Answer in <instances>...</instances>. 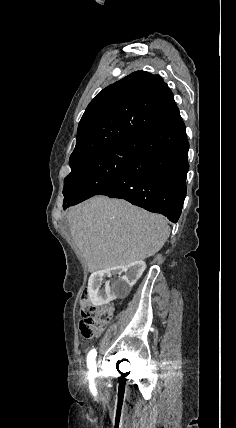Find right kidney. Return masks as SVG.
Returning a JSON list of instances; mask_svg holds the SVG:
<instances>
[{
    "instance_id": "ca27d5eb",
    "label": "right kidney",
    "mask_w": 236,
    "mask_h": 428,
    "mask_svg": "<svg viewBox=\"0 0 236 428\" xmlns=\"http://www.w3.org/2000/svg\"><path fill=\"white\" fill-rule=\"evenodd\" d=\"M144 270L146 264L143 260L118 266L117 269H95L88 284L92 304L109 306L110 301L130 300V288L141 278ZM111 278H114L113 283H107Z\"/></svg>"
}]
</instances>
